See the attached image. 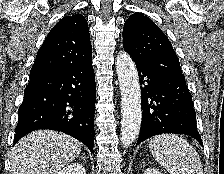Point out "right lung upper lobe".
Here are the masks:
<instances>
[{"label": "right lung upper lobe", "mask_w": 224, "mask_h": 174, "mask_svg": "<svg viewBox=\"0 0 224 174\" xmlns=\"http://www.w3.org/2000/svg\"><path fill=\"white\" fill-rule=\"evenodd\" d=\"M92 58L88 23L83 15L63 17L40 47L30 74L77 64Z\"/></svg>", "instance_id": "cb5924a9"}]
</instances>
